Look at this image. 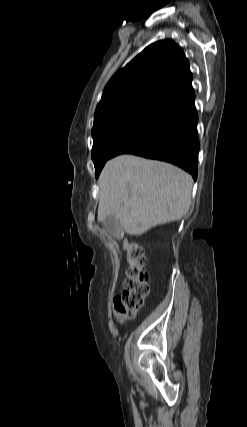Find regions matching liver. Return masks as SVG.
I'll list each match as a JSON object with an SVG mask.
<instances>
[{"label":"liver","mask_w":247,"mask_h":427,"mask_svg":"<svg viewBox=\"0 0 247 427\" xmlns=\"http://www.w3.org/2000/svg\"><path fill=\"white\" fill-rule=\"evenodd\" d=\"M192 185V177L174 165L120 155L100 174L98 220L114 215L127 234H144L187 214Z\"/></svg>","instance_id":"1"}]
</instances>
